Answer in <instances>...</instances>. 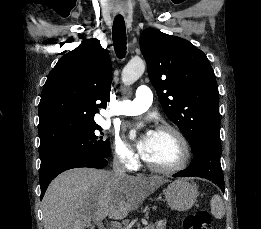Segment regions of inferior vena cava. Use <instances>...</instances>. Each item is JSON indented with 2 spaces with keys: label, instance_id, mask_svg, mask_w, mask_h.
<instances>
[{
  "label": "inferior vena cava",
  "instance_id": "602c4592",
  "mask_svg": "<svg viewBox=\"0 0 261 229\" xmlns=\"http://www.w3.org/2000/svg\"><path fill=\"white\" fill-rule=\"evenodd\" d=\"M113 173H115V175H117V177H127L125 163H124L123 159H118V157H114Z\"/></svg>",
  "mask_w": 261,
  "mask_h": 229
}]
</instances>
